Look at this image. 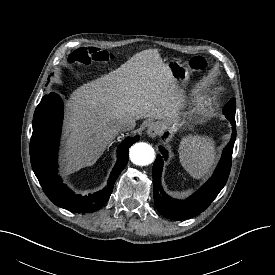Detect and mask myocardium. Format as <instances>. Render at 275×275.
<instances>
[{
  "label": "myocardium",
  "mask_w": 275,
  "mask_h": 275,
  "mask_svg": "<svg viewBox=\"0 0 275 275\" xmlns=\"http://www.w3.org/2000/svg\"><path fill=\"white\" fill-rule=\"evenodd\" d=\"M208 105V98L207 97H199L194 101L192 110H191V114L192 115H198L200 114L202 111H204V109L207 107Z\"/></svg>",
  "instance_id": "1"
}]
</instances>
